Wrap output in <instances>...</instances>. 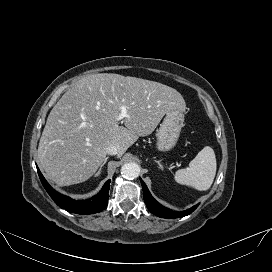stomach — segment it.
<instances>
[{"mask_svg": "<svg viewBox=\"0 0 272 272\" xmlns=\"http://www.w3.org/2000/svg\"><path fill=\"white\" fill-rule=\"evenodd\" d=\"M184 123V113L180 110L168 111L157 130V149L169 151L177 143Z\"/></svg>", "mask_w": 272, "mask_h": 272, "instance_id": "1", "label": "stomach"}]
</instances>
